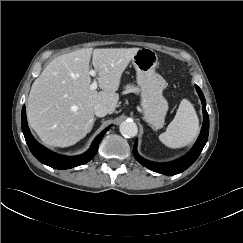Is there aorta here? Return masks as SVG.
I'll list each match as a JSON object with an SVG mask.
<instances>
[{
  "label": "aorta",
  "instance_id": "obj_1",
  "mask_svg": "<svg viewBox=\"0 0 243 243\" xmlns=\"http://www.w3.org/2000/svg\"><path fill=\"white\" fill-rule=\"evenodd\" d=\"M119 130H120L121 135H123L124 137L132 138V137L136 136V134L138 132V127L135 122H133L131 120H126L120 124Z\"/></svg>",
  "mask_w": 243,
  "mask_h": 243
}]
</instances>
